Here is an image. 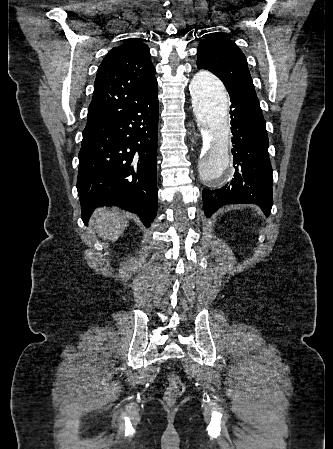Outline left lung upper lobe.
<instances>
[{"mask_svg": "<svg viewBox=\"0 0 333 449\" xmlns=\"http://www.w3.org/2000/svg\"><path fill=\"white\" fill-rule=\"evenodd\" d=\"M197 49V66L215 74L228 92L235 91L258 101L247 61L239 47L231 40L215 33L205 34Z\"/></svg>", "mask_w": 333, "mask_h": 449, "instance_id": "left-lung-upper-lobe-1", "label": "left lung upper lobe"}]
</instances>
